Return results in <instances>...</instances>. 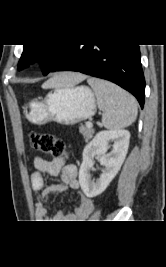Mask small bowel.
Wrapping results in <instances>:
<instances>
[{
  "mask_svg": "<svg viewBox=\"0 0 166 267\" xmlns=\"http://www.w3.org/2000/svg\"><path fill=\"white\" fill-rule=\"evenodd\" d=\"M36 171L31 176V184L36 195L35 216L38 220H51V222H78L85 220L93 209L90 197L80 190L78 170L73 164H65L62 158L45 160L37 157L34 160ZM49 176H60L61 182L46 186L45 180ZM67 189L76 191L78 205L73 212H58L48 215L45 203L54 193H63Z\"/></svg>",
  "mask_w": 166,
  "mask_h": 267,
  "instance_id": "1",
  "label": "small bowel"
}]
</instances>
